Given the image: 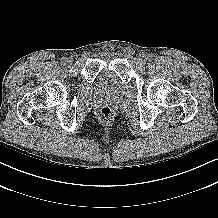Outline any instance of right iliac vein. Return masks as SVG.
<instances>
[{
    "mask_svg": "<svg viewBox=\"0 0 218 218\" xmlns=\"http://www.w3.org/2000/svg\"><path fill=\"white\" fill-rule=\"evenodd\" d=\"M66 63L67 64H72L73 63V58H71V57L66 58Z\"/></svg>",
    "mask_w": 218,
    "mask_h": 218,
    "instance_id": "1",
    "label": "right iliac vein"
}]
</instances>
